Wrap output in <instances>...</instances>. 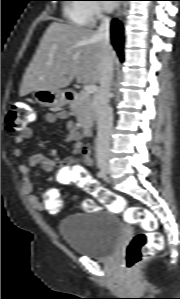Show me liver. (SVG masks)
<instances>
[{"mask_svg":"<svg viewBox=\"0 0 180 299\" xmlns=\"http://www.w3.org/2000/svg\"><path fill=\"white\" fill-rule=\"evenodd\" d=\"M103 42L97 31L54 21L46 29L23 76L19 95L39 89L59 90L74 77L78 83L99 82ZM112 61L115 53L109 49Z\"/></svg>","mask_w":180,"mask_h":299,"instance_id":"obj_1","label":"liver"}]
</instances>
